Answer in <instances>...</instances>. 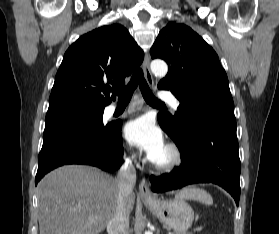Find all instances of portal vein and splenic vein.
I'll use <instances>...</instances> for the list:
<instances>
[{"mask_svg": "<svg viewBox=\"0 0 279 234\" xmlns=\"http://www.w3.org/2000/svg\"><path fill=\"white\" fill-rule=\"evenodd\" d=\"M89 222H90V223L94 222V219L90 218V219H89ZM200 229H201L200 227H197V228H195V231H199Z\"/></svg>", "mask_w": 279, "mask_h": 234, "instance_id": "18ae733b", "label": "portal vein and splenic vein"}]
</instances>
